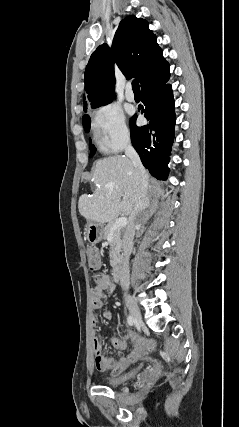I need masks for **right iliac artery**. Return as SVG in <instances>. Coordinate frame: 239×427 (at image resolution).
I'll return each mask as SVG.
<instances>
[{"mask_svg": "<svg viewBox=\"0 0 239 427\" xmlns=\"http://www.w3.org/2000/svg\"><path fill=\"white\" fill-rule=\"evenodd\" d=\"M127 322H128V324H129V325H131V326H132V325L134 324V322H135V321H134V318H133L132 316H130V315H129V316H128V318H127Z\"/></svg>", "mask_w": 239, "mask_h": 427, "instance_id": "82829eb1", "label": "right iliac artery"}]
</instances>
